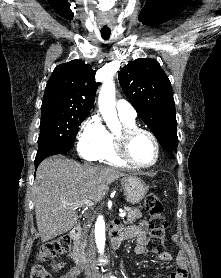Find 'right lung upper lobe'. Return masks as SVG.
<instances>
[{"label": "right lung upper lobe", "mask_w": 221, "mask_h": 278, "mask_svg": "<svg viewBox=\"0 0 221 278\" xmlns=\"http://www.w3.org/2000/svg\"><path fill=\"white\" fill-rule=\"evenodd\" d=\"M96 90L94 71L90 65L81 60L60 64L47 82L41 112L89 114L94 104Z\"/></svg>", "instance_id": "cb5924a9"}]
</instances>
